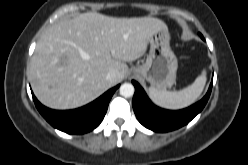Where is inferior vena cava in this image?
<instances>
[{"label": "inferior vena cava", "mask_w": 248, "mask_h": 165, "mask_svg": "<svg viewBox=\"0 0 248 165\" xmlns=\"http://www.w3.org/2000/svg\"><path fill=\"white\" fill-rule=\"evenodd\" d=\"M115 78H116V73L114 72V71H110V72H108V74L106 75V80L108 81V82H114V80H115Z\"/></svg>", "instance_id": "602c4592"}]
</instances>
